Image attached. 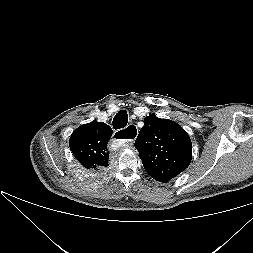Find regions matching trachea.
<instances>
[{
  "label": "trachea",
  "instance_id": "3493384b",
  "mask_svg": "<svg viewBox=\"0 0 253 253\" xmlns=\"http://www.w3.org/2000/svg\"><path fill=\"white\" fill-rule=\"evenodd\" d=\"M114 129L124 128L128 123V114L125 110L119 111L113 119ZM123 131V130H122Z\"/></svg>",
  "mask_w": 253,
  "mask_h": 253
}]
</instances>
